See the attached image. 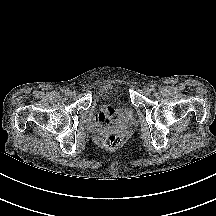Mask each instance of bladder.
I'll use <instances>...</instances> for the list:
<instances>
[{
    "label": "bladder",
    "instance_id": "obj_1",
    "mask_svg": "<svg viewBox=\"0 0 216 216\" xmlns=\"http://www.w3.org/2000/svg\"><path fill=\"white\" fill-rule=\"evenodd\" d=\"M134 119V111L128 107L123 106L121 111L115 116L110 125L118 127H127L129 126Z\"/></svg>",
    "mask_w": 216,
    "mask_h": 216
}]
</instances>
